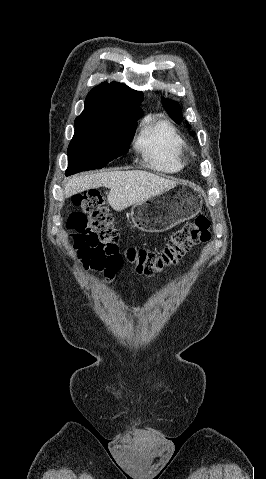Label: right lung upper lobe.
<instances>
[{
	"mask_svg": "<svg viewBox=\"0 0 266 479\" xmlns=\"http://www.w3.org/2000/svg\"><path fill=\"white\" fill-rule=\"evenodd\" d=\"M143 99L142 92L132 90L125 84L102 83L89 92L84 111L76 119L135 121L143 116L142 109L137 105Z\"/></svg>",
	"mask_w": 266,
	"mask_h": 479,
	"instance_id": "right-lung-upper-lobe-1",
	"label": "right lung upper lobe"
}]
</instances>
